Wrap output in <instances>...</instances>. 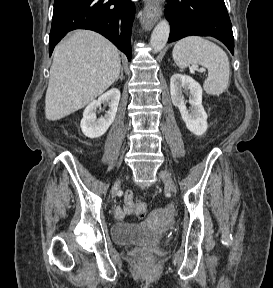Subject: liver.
<instances>
[{"instance_id":"1","label":"liver","mask_w":273,"mask_h":288,"mask_svg":"<svg viewBox=\"0 0 273 288\" xmlns=\"http://www.w3.org/2000/svg\"><path fill=\"white\" fill-rule=\"evenodd\" d=\"M120 70L119 51L109 40L93 31H74L54 50L46 119L57 121L82 109L116 81Z\"/></svg>"}]
</instances>
